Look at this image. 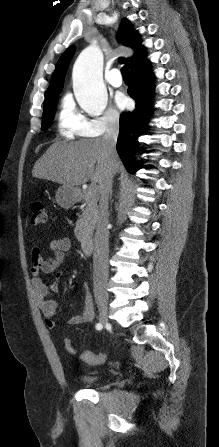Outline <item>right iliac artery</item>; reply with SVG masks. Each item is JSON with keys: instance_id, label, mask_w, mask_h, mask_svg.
Here are the masks:
<instances>
[{"instance_id": "82829eb1", "label": "right iliac artery", "mask_w": 219, "mask_h": 447, "mask_svg": "<svg viewBox=\"0 0 219 447\" xmlns=\"http://www.w3.org/2000/svg\"><path fill=\"white\" fill-rule=\"evenodd\" d=\"M102 328V325L100 324V323H98V324H96V329H101Z\"/></svg>"}]
</instances>
